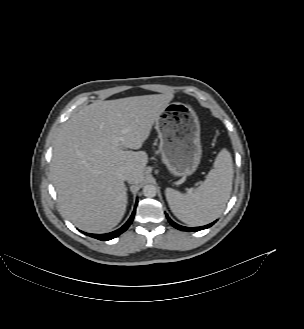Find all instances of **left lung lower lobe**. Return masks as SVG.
<instances>
[{
  "label": "left lung lower lobe",
  "instance_id": "left-lung-lower-lobe-1",
  "mask_svg": "<svg viewBox=\"0 0 304 329\" xmlns=\"http://www.w3.org/2000/svg\"><path fill=\"white\" fill-rule=\"evenodd\" d=\"M168 221L170 222V224L175 227L176 229H179V230H182V231H199V230H203V229H206V228H209L210 226H212L215 222L211 223V224H208L206 226H202V227H194V228H188V227H184V226H181L175 222H173L169 217L168 215H166Z\"/></svg>",
  "mask_w": 304,
  "mask_h": 329
}]
</instances>
